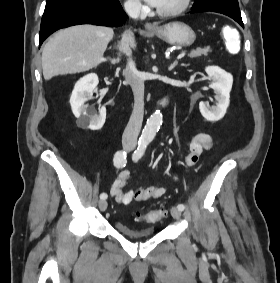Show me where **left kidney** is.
<instances>
[{"label": "left kidney", "instance_id": "left-kidney-1", "mask_svg": "<svg viewBox=\"0 0 280 283\" xmlns=\"http://www.w3.org/2000/svg\"><path fill=\"white\" fill-rule=\"evenodd\" d=\"M208 79L212 81L209 85L216 94V106L209 108L204 102L199 103L201 115L208 121L215 122L222 119L230 102V91L232 89L233 77L217 66L205 68Z\"/></svg>", "mask_w": 280, "mask_h": 283}]
</instances>
